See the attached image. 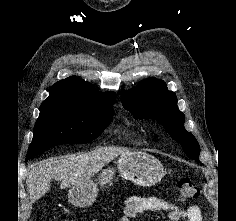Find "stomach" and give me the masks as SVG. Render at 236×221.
I'll list each match as a JSON object with an SVG mask.
<instances>
[{
	"mask_svg": "<svg viewBox=\"0 0 236 221\" xmlns=\"http://www.w3.org/2000/svg\"><path fill=\"white\" fill-rule=\"evenodd\" d=\"M119 173L137 185L149 187L158 183L164 176L161 162L144 152H126L116 162ZM114 169L108 168L98 175V182L88 180L72 186L68 193L69 201L77 207L90 206L96 199L100 186H106L114 177Z\"/></svg>",
	"mask_w": 236,
	"mask_h": 221,
	"instance_id": "stomach-1",
	"label": "stomach"
}]
</instances>
